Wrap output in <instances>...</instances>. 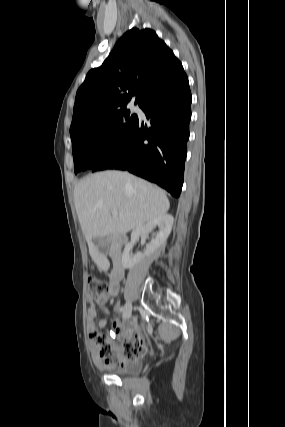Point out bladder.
I'll return each instance as SVG.
<instances>
[{
    "label": "bladder",
    "instance_id": "obj_1",
    "mask_svg": "<svg viewBox=\"0 0 285 427\" xmlns=\"http://www.w3.org/2000/svg\"><path fill=\"white\" fill-rule=\"evenodd\" d=\"M109 371L117 376L136 375L141 371V365L137 362H127L125 365L117 366Z\"/></svg>",
    "mask_w": 285,
    "mask_h": 427
}]
</instances>
